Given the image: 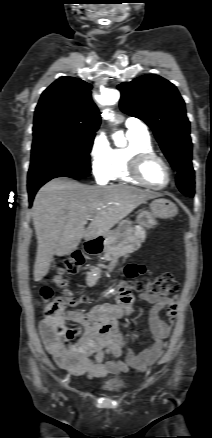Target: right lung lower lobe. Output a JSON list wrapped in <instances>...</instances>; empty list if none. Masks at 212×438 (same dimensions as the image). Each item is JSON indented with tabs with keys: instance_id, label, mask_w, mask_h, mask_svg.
I'll return each instance as SVG.
<instances>
[{
	"instance_id": "right-lung-lower-lobe-1",
	"label": "right lung lower lobe",
	"mask_w": 212,
	"mask_h": 438,
	"mask_svg": "<svg viewBox=\"0 0 212 438\" xmlns=\"http://www.w3.org/2000/svg\"><path fill=\"white\" fill-rule=\"evenodd\" d=\"M89 172H70V171H43L33 174H28V194L29 203L32 204L34 195L38 189L56 177L83 178L89 176Z\"/></svg>"
}]
</instances>
